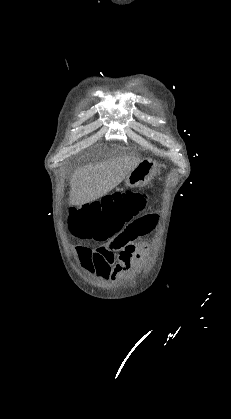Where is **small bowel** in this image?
Returning a JSON list of instances; mask_svg holds the SVG:
<instances>
[{"instance_id":"obj_1","label":"small bowel","mask_w":231,"mask_h":419,"mask_svg":"<svg viewBox=\"0 0 231 419\" xmlns=\"http://www.w3.org/2000/svg\"><path fill=\"white\" fill-rule=\"evenodd\" d=\"M155 215H147L127 224L124 229L106 245L95 250L78 247L76 253L81 266L103 281L115 280L128 272L140 258L137 239L148 234L157 224ZM118 252V262L116 261Z\"/></svg>"}]
</instances>
